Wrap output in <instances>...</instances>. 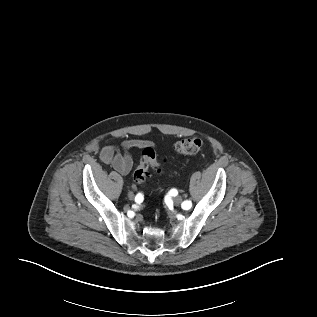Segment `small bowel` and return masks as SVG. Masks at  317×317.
Returning <instances> with one entry per match:
<instances>
[{"label": "small bowel", "instance_id": "c3829d8e", "mask_svg": "<svg viewBox=\"0 0 317 317\" xmlns=\"http://www.w3.org/2000/svg\"><path fill=\"white\" fill-rule=\"evenodd\" d=\"M146 144L147 142L143 140L128 139L119 146L106 145L102 147L100 151V159L103 163L110 165L118 173L126 175L133 166L131 151L136 148H141Z\"/></svg>", "mask_w": 317, "mask_h": 317}]
</instances>
